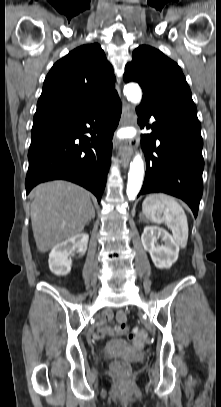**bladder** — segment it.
I'll list each match as a JSON object with an SVG mask.
<instances>
[{"label": "bladder", "mask_w": 221, "mask_h": 407, "mask_svg": "<svg viewBox=\"0 0 221 407\" xmlns=\"http://www.w3.org/2000/svg\"><path fill=\"white\" fill-rule=\"evenodd\" d=\"M125 348V344L119 340H113L109 344V351L114 354L120 353Z\"/></svg>", "instance_id": "obj_1"}]
</instances>
